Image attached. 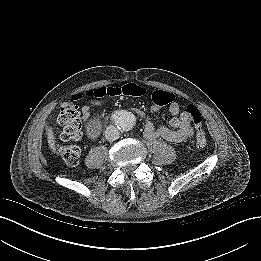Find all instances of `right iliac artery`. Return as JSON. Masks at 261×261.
Returning a JSON list of instances; mask_svg holds the SVG:
<instances>
[{"label": "right iliac artery", "instance_id": "obj_1", "mask_svg": "<svg viewBox=\"0 0 261 261\" xmlns=\"http://www.w3.org/2000/svg\"><path fill=\"white\" fill-rule=\"evenodd\" d=\"M112 120H116V118L112 117Z\"/></svg>", "mask_w": 261, "mask_h": 261}]
</instances>
